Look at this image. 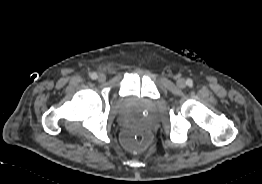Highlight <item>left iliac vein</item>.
I'll return each mask as SVG.
<instances>
[{
    "label": "left iliac vein",
    "mask_w": 262,
    "mask_h": 184,
    "mask_svg": "<svg viewBox=\"0 0 262 184\" xmlns=\"http://www.w3.org/2000/svg\"><path fill=\"white\" fill-rule=\"evenodd\" d=\"M177 85H178V87H180V88H184V87L186 86V81H185V79H183V78L178 79V80H177Z\"/></svg>",
    "instance_id": "4c4485c4"
}]
</instances>
